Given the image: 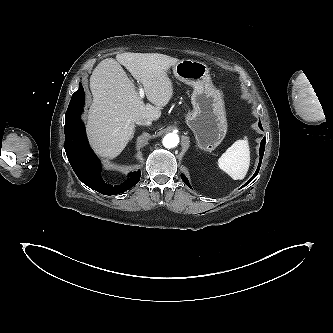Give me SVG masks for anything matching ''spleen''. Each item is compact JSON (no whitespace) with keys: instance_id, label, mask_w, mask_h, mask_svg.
<instances>
[{"instance_id":"spleen-1","label":"spleen","mask_w":333,"mask_h":333,"mask_svg":"<svg viewBox=\"0 0 333 333\" xmlns=\"http://www.w3.org/2000/svg\"><path fill=\"white\" fill-rule=\"evenodd\" d=\"M250 165V151L246 137L235 141L218 159V166L234 180L245 178Z\"/></svg>"}]
</instances>
